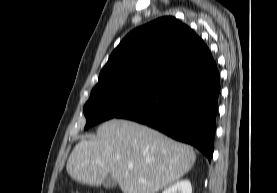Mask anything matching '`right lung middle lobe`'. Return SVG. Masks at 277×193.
Wrapping results in <instances>:
<instances>
[{
    "instance_id": "right-lung-middle-lobe-1",
    "label": "right lung middle lobe",
    "mask_w": 277,
    "mask_h": 193,
    "mask_svg": "<svg viewBox=\"0 0 277 193\" xmlns=\"http://www.w3.org/2000/svg\"><path fill=\"white\" fill-rule=\"evenodd\" d=\"M156 90L155 88L124 86L92 91L84 106V114L87 119L85 129L105 120L117 118L143 102Z\"/></svg>"
}]
</instances>
